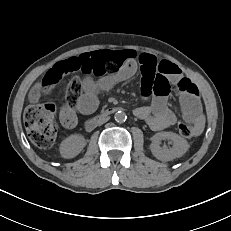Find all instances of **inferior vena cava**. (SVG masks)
Masks as SVG:
<instances>
[{"label": "inferior vena cava", "instance_id": "602c4592", "mask_svg": "<svg viewBox=\"0 0 231 231\" xmlns=\"http://www.w3.org/2000/svg\"><path fill=\"white\" fill-rule=\"evenodd\" d=\"M108 121H110V116H105L101 118V122H99V127H104V123H107Z\"/></svg>", "mask_w": 231, "mask_h": 231}]
</instances>
